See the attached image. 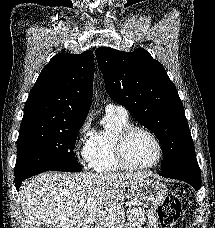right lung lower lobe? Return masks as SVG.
I'll use <instances>...</instances> for the list:
<instances>
[{"label": "right lung lower lobe", "instance_id": "1", "mask_svg": "<svg viewBox=\"0 0 215 228\" xmlns=\"http://www.w3.org/2000/svg\"><path fill=\"white\" fill-rule=\"evenodd\" d=\"M45 171H49V170L29 171V172H24L22 174H19V175L15 176V187H16V190L19 191V187H20L22 181H24L25 179H27V178H29V177H31L33 175L45 172Z\"/></svg>", "mask_w": 215, "mask_h": 228}]
</instances>
